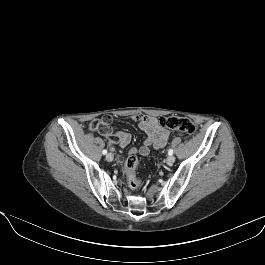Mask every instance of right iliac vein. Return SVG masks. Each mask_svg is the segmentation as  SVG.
<instances>
[{"instance_id":"1","label":"right iliac vein","mask_w":265,"mask_h":265,"mask_svg":"<svg viewBox=\"0 0 265 265\" xmlns=\"http://www.w3.org/2000/svg\"><path fill=\"white\" fill-rule=\"evenodd\" d=\"M113 158H114V156H113L112 153H108V154L106 155V160L109 161V162H111V161L113 160Z\"/></svg>"}]
</instances>
